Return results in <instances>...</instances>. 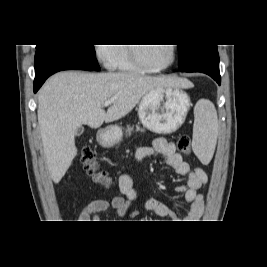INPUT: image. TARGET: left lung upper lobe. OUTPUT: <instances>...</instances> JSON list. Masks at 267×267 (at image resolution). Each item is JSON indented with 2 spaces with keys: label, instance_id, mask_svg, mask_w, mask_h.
I'll use <instances>...</instances> for the list:
<instances>
[{
  "label": "left lung upper lobe",
  "instance_id": "left-lung-upper-lobe-1",
  "mask_svg": "<svg viewBox=\"0 0 267 267\" xmlns=\"http://www.w3.org/2000/svg\"><path fill=\"white\" fill-rule=\"evenodd\" d=\"M217 50V45H178L179 69L183 70L200 55Z\"/></svg>",
  "mask_w": 267,
  "mask_h": 267
}]
</instances>
